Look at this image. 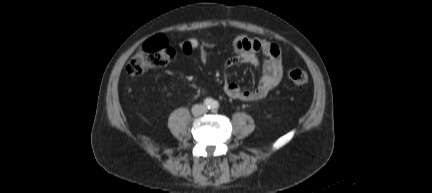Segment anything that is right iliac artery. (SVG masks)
<instances>
[{
  "label": "right iliac artery",
  "mask_w": 432,
  "mask_h": 193,
  "mask_svg": "<svg viewBox=\"0 0 432 193\" xmlns=\"http://www.w3.org/2000/svg\"><path fill=\"white\" fill-rule=\"evenodd\" d=\"M212 103H213V100H212L211 98H206V99L204 100V105H205L207 108H211Z\"/></svg>",
  "instance_id": "82829eb1"
}]
</instances>
